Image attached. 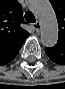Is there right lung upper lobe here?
Instances as JSON below:
<instances>
[{
  "label": "right lung upper lobe",
  "mask_w": 65,
  "mask_h": 89,
  "mask_svg": "<svg viewBox=\"0 0 65 89\" xmlns=\"http://www.w3.org/2000/svg\"><path fill=\"white\" fill-rule=\"evenodd\" d=\"M22 6L16 0H0V54L9 55L21 48L30 35L21 28Z\"/></svg>",
  "instance_id": "1"
}]
</instances>
